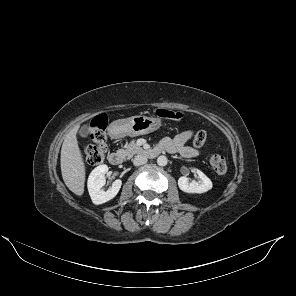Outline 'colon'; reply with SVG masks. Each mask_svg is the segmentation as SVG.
<instances>
[{
  "mask_svg": "<svg viewBox=\"0 0 296 296\" xmlns=\"http://www.w3.org/2000/svg\"><path fill=\"white\" fill-rule=\"evenodd\" d=\"M155 115L171 120H180L183 117L181 112L168 109H157L155 110ZM107 122L108 120L105 115H99L94 118L90 124V136L93 143L85 144L81 149L84 161L90 165H97L101 163L107 152V140L105 134ZM206 138V132L204 130H198L193 137V148H201L205 144ZM210 164L218 175L226 174L227 163L223 156L219 154L211 155Z\"/></svg>",
  "mask_w": 296,
  "mask_h": 296,
  "instance_id": "5ec220e1",
  "label": "colon"
}]
</instances>
